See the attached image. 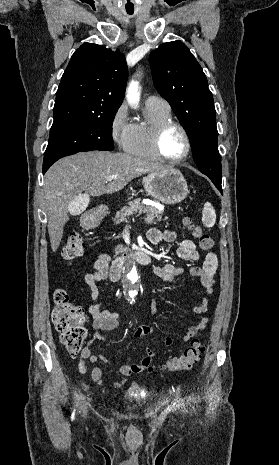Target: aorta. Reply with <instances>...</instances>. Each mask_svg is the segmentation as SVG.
Segmentation results:
<instances>
[{
    "instance_id": "762f6f07",
    "label": "aorta",
    "mask_w": 279,
    "mask_h": 465,
    "mask_svg": "<svg viewBox=\"0 0 279 465\" xmlns=\"http://www.w3.org/2000/svg\"><path fill=\"white\" fill-rule=\"evenodd\" d=\"M140 94L138 92V82L131 81L127 89V100L130 104L135 105L139 101ZM126 287L130 298H134L137 294V286L139 284L135 265L130 264L125 273Z\"/></svg>"
}]
</instances>
